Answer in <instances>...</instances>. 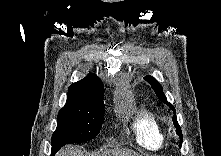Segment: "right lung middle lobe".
<instances>
[{"instance_id":"1","label":"right lung middle lobe","mask_w":221,"mask_h":156,"mask_svg":"<svg viewBox=\"0 0 221 156\" xmlns=\"http://www.w3.org/2000/svg\"><path fill=\"white\" fill-rule=\"evenodd\" d=\"M104 103L65 105L58 113V125L52 137V154L63 145L89 141L100 132L104 121Z\"/></svg>"}]
</instances>
